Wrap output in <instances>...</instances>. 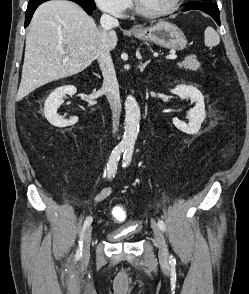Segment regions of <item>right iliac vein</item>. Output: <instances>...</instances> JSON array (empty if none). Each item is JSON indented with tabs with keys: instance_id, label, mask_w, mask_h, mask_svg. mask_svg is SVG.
Instances as JSON below:
<instances>
[{
	"instance_id": "63e3f726",
	"label": "right iliac vein",
	"mask_w": 249,
	"mask_h": 294,
	"mask_svg": "<svg viewBox=\"0 0 249 294\" xmlns=\"http://www.w3.org/2000/svg\"><path fill=\"white\" fill-rule=\"evenodd\" d=\"M91 236H92V226H88L86 228V231L84 233V238H83L82 261L84 263L88 262L90 258Z\"/></svg>"
}]
</instances>
